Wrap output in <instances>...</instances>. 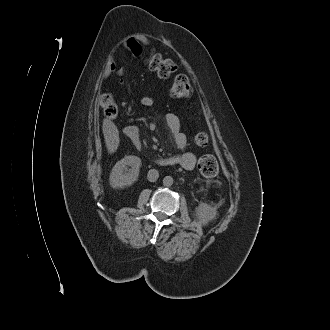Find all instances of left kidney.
Returning <instances> with one entry per match:
<instances>
[{
  "label": "left kidney",
  "instance_id": "left-kidney-1",
  "mask_svg": "<svg viewBox=\"0 0 330 330\" xmlns=\"http://www.w3.org/2000/svg\"><path fill=\"white\" fill-rule=\"evenodd\" d=\"M195 212L198 221L203 225L215 220L218 215L217 209L207 203L199 204Z\"/></svg>",
  "mask_w": 330,
  "mask_h": 330
}]
</instances>
